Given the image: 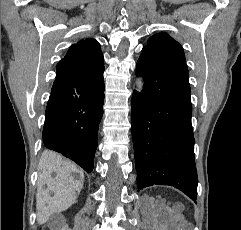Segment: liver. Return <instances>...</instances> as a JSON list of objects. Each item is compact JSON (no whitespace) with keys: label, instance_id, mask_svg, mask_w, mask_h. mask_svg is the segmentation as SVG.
<instances>
[{"label":"liver","instance_id":"1","mask_svg":"<svg viewBox=\"0 0 241 230\" xmlns=\"http://www.w3.org/2000/svg\"><path fill=\"white\" fill-rule=\"evenodd\" d=\"M39 171L38 184L47 186V190H40L37 197L38 223L44 224L53 213L63 212L75 203L76 195L83 187L84 173L71 161L49 150L42 153ZM49 191L53 196L48 194Z\"/></svg>","mask_w":241,"mask_h":230}]
</instances>
